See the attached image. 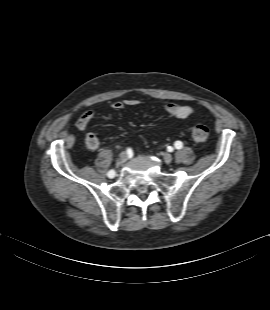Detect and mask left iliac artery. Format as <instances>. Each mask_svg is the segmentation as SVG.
<instances>
[{"label": "left iliac artery", "mask_w": 270, "mask_h": 310, "mask_svg": "<svg viewBox=\"0 0 270 310\" xmlns=\"http://www.w3.org/2000/svg\"><path fill=\"white\" fill-rule=\"evenodd\" d=\"M175 147H176L177 149H181V148L183 147L182 142H181V141H176V142H175Z\"/></svg>", "instance_id": "left-iliac-artery-1"}]
</instances>
